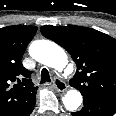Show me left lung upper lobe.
Here are the masks:
<instances>
[{
	"mask_svg": "<svg viewBox=\"0 0 116 116\" xmlns=\"http://www.w3.org/2000/svg\"><path fill=\"white\" fill-rule=\"evenodd\" d=\"M40 31L71 55L77 71L69 83L83 97L116 100V39L92 28L73 25H45Z\"/></svg>",
	"mask_w": 116,
	"mask_h": 116,
	"instance_id": "5c2ea615",
	"label": "left lung upper lobe"
}]
</instances>
